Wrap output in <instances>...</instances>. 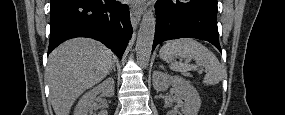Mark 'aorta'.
<instances>
[{
	"instance_id": "obj_1",
	"label": "aorta",
	"mask_w": 285,
	"mask_h": 115,
	"mask_svg": "<svg viewBox=\"0 0 285 115\" xmlns=\"http://www.w3.org/2000/svg\"><path fill=\"white\" fill-rule=\"evenodd\" d=\"M155 25L154 14L149 10L143 15L136 42L137 62L144 68L149 64L155 35Z\"/></svg>"
}]
</instances>
